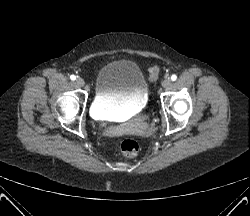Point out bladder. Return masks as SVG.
<instances>
[{
    "instance_id": "31cf9c89",
    "label": "bladder",
    "mask_w": 250,
    "mask_h": 216,
    "mask_svg": "<svg viewBox=\"0 0 250 216\" xmlns=\"http://www.w3.org/2000/svg\"><path fill=\"white\" fill-rule=\"evenodd\" d=\"M148 102V84L131 60L103 65L96 76L91 111L98 118L121 117L141 111Z\"/></svg>"
}]
</instances>
